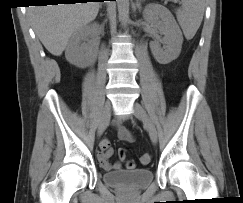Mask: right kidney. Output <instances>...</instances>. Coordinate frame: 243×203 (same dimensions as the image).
<instances>
[{"instance_id": "ca27d5eb", "label": "right kidney", "mask_w": 243, "mask_h": 203, "mask_svg": "<svg viewBox=\"0 0 243 203\" xmlns=\"http://www.w3.org/2000/svg\"><path fill=\"white\" fill-rule=\"evenodd\" d=\"M96 29L97 25L92 24L83 26L73 33L65 51V56L68 62L79 68H85L94 63L97 52L85 41L87 40L88 35Z\"/></svg>"}]
</instances>
